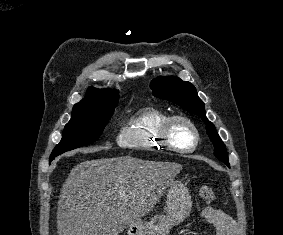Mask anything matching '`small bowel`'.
Wrapping results in <instances>:
<instances>
[{
    "mask_svg": "<svg viewBox=\"0 0 283 235\" xmlns=\"http://www.w3.org/2000/svg\"><path fill=\"white\" fill-rule=\"evenodd\" d=\"M201 217L205 222L216 228L217 235H234L236 222L229 215L212 208H205Z\"/></svg>",
    "mask_w": 283,
    "mask_h": 235,
    "instance_id": "1",
    "label": "small bowel"
}]
</instances>
